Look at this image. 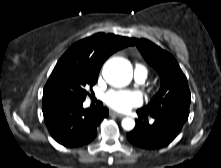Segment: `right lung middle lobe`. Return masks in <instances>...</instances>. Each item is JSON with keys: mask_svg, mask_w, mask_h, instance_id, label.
<instances>
[{"mask_svg": "<svg viewBox=\"0 0 221 168\" xmlns=\"http://www.w3.org/2000/svg\"><path fill=\"white\" fill-rule=\"evenodd\" d=\"M99 69L73 61H58L44 87L45 98L84 101L96 84Z\"/></svg>", "mask_w": 221, "mask_h": 168, "instance_id": "dd1d6c3e", "label": "right lung middle lobe"}]
</instances>
